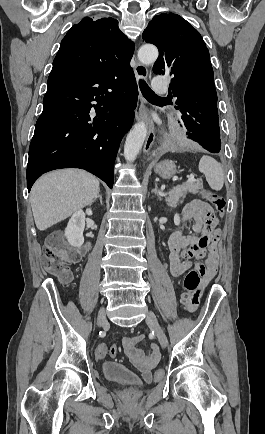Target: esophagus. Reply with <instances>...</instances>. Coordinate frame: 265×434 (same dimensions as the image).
Returning a JSON list of instances; mask_svg holds the SVG:
<instances>
[{
  "label": "esophagus",
  "instance_id": "1",
  "mask_svg": "<svg viewBox=\"0 0 265 434\" xmlns=\"http://www.w3.org/2000/svg\"><path fill=\"white\" fill-rule=\"evenodd\" d=\"M136 60V58H135ZM135 76L137 79H146L148 77V69L145 67V65H142L136 60V66L134 68ZM135 118L139 122H144L147 127V138L144 144L143 151L145 153L149 152L154 140H155V129H154V123L152 119L147 114V109L143 102V97L141 94H139L138 100H137V107L135 109Z\"/></svg>",
  "mask_w": 265,
  "mask_h": 434
}]
</instances>
